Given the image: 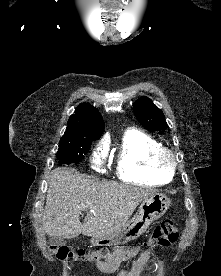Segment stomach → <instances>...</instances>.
<instances>
[{
    "label": "stomach",
    "mask_w": 221,
    "mask_h": 276,
    "mask_svg": "<svg viewBox=\"0 0 221 276\" xmlns=\"http://www.w3.org/2000/svg\"><path fill=\"white\" fill-rule=\"evenodd\" d=\"M170 204V200L162 194H155L144 199L136 215L117 232L102 238L93 237L94 246L121 245L141 236L156 219L162 217Z\"/></svg>",
    "instance_id": "stomach-1"
}]
</instances>
